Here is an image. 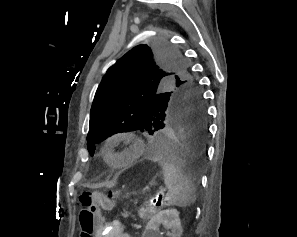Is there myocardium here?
Masks as SVG:
<instances>
[{
    "label": "myocardium",
    "mask_w": 297,
    "mask_h": 237,
    "mask_svg": "<svg viewBox=\"0 0 297 237\" xmlns=\"http://www.w3.org/2000/svg\"><path fill=\"white\" fill-rule=\"evenodd\" d=\"M123 146H124V144H119V145L116 147V149H117V150H120V149L123 148Z\"/></svg>",
    "instance_id": "myocardium-1"
}]
</instances>
